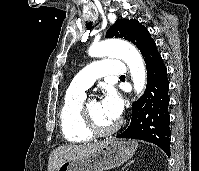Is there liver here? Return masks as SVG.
I'll list each match as a JSON object with an SVG mask.
<instances>
[{
    "mask_svg": "<svg viewBox=\"0 0 199 171\" xmlns=\"http://www.w3.org/2000/svg\"><path fill=\"white\" fill-rule=\"evenodd\" d=\"M106 142L65 145L56 148L49 156L48 171H57L64 162L91 154L104 146Z\"/></svg>",
    "mask_w": 199,
    "mask_h": 171,
    "instance_id": "liver-1",
    "label": "liver"
}]
</instances>
